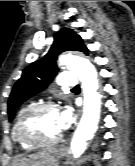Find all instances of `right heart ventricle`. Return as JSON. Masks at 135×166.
<instances>
[{"instance_id":"right-heart-ventricle-1","label":"right heart ventricle","mask_w":135,"mask_h":166,"mask_svg":"<svg viewBox=\"0 0 135 166\" xmlns=\"http://www.w3.org/2000/svg\"><path fill=\"white\" fill-rule=\"evenodd\" d=\"M24 110H25V109H24ZM24 110H23V111H24ZM23 111L18 115V117H17V119H16V122H15L14 127H13V136H14L15 141H16L23 149L29 150V149H32L33 147L22 143V142L18 139V137H17V132H16V125H17L18 119H19L20 115L23 113Z\"/></svg>"}]
</instances>
